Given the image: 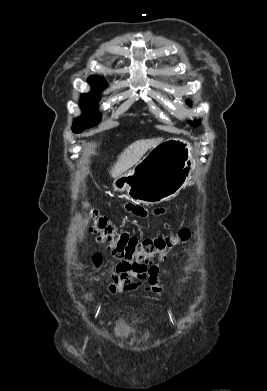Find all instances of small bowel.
Wrapping results in <instances>:
<instances>
[{
	"label": "small bowel",
	"instance_id": "1",
	"mask_svg": "<svg viewBox=\"0 0 267 391\" xmlns=\"http://www.w3.org/2000/svg\"><path fill=\"white\" fill-rule=\"evenodd\" d=\"M124 208L139 217H147L149 212L139 205L127 203ZM163 209H157L152 212L154 215L163 213ZM94 264L98 265L101 261L99 255L93 258ZM111 269V284L110 290L112 292L132 291L139 287H143L146 291H151L156 294L163 292V286L158 278V270L146 268L138 265L119 263L116 266H110Z\"/></svg>",
	"mask_w": 267,
	"mask_h": 391
}]
</instances>
